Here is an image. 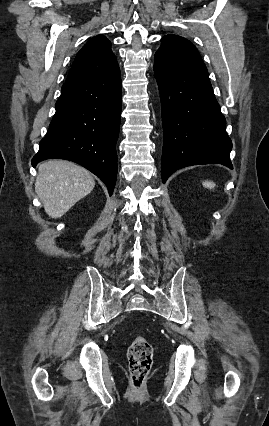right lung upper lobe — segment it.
I'll return each instance as SVG.
<instances>
[{"label": "right lung upper lobe", "instance_id": "right-lung-upper-lobe-1", "mask_svg": "<svg viewBox=\"0 0 269 426\" xmlns=\"http://www.w3.org/2000/svg\"><path fill=\"white\" fill-rule=\"evenodd\" d=\"M117 68L118 63L111 51V42L98 35L90 39L78 52L66 82L99 77Z\"/></svg>", "mask_w": 269, "mask_h": 426}]
</instances>
